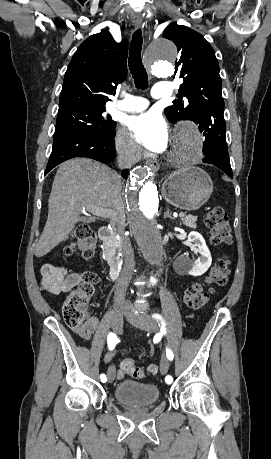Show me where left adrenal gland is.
<instances>
[{
	"instance_id": "obj_1",
	"label": "left adrenal gland",
	"mask_w": 271,
	"mask_h": 459,
	"mask_svg": "<svg viewBox=\"0 0 271 459\" xmlns=\"http://www.w3.org/2000/svg\"><path fill=\"white\" fill-rule=\"evenodd\" d=\"M167 212H165L164 214V218H170V220H173V218H171V214H169V208H166Z\"/></svg>"
}]
</instances>
